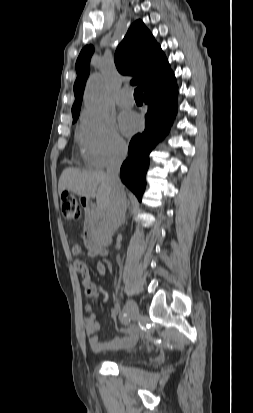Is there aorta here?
I'll use <instances>...</instances> for the list:
<instances>
[{
	"label": "aorta",
	"mask_w": 253,
	"mask_h": 413,
	"mask_svg": "<svg viewBox=\"0 0 253 413\" xmlns=\"http://www.w3.org/2000/svg\"><path fill=\"white\" fill-rule=\"evenodd\" d=\"M109 86L101 74L90 76L85 93L84 103L87 109L94 115L103 118L108 114Z\"/></svg>",
	"instance_id": "1"
}]
</instances>
